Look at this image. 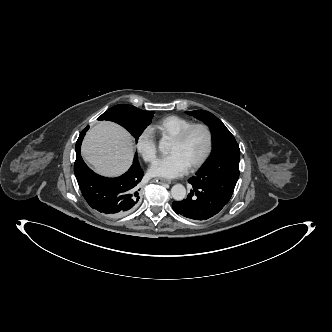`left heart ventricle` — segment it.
<instances>
[{
  "label": "left heart ventricle",
  "mask_w": 332,
  "mask_h": 332,
  "mask_svg": "<svg viewBox=\"0 0 332 332\" xmlns=\"http://www.w3.org/2000/svg\"><path fill=\"white\" fill-rule=\"evenodd\" d=\"M207 144V136L203 129L196 128L190 132L186 140L181 143L172 141L170 154H179L190 165L204 152Z\"/></svg>",
  "instance_id": "b2bd125f"
}]
</instances>
